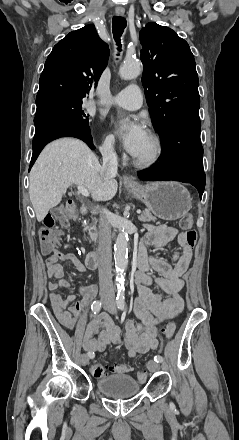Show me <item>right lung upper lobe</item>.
Here are the masks:
<instances>
[{
  "instance_id": "obj_1",
  "label": "right lung upper lobe",
  "mask_w": 239,
  "mask_h": 440,
  "mask_svg": "<svg viewBox=\"0 0 239 440\" xmlns=\"http://www.w3.org/2000/svg\"><path fill=\"white\" fill-rule=\"evenodd\" d=\"M109 47L94 25L70 32L48 56L40 76L36 102L53 96L86 97L109 58Z\"/></svg>"
}]
</instances>
